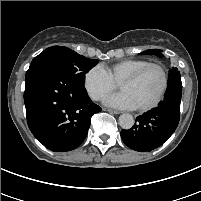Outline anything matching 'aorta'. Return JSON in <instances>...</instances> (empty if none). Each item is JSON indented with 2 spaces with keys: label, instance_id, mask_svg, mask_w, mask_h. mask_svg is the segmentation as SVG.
<instances>
[{
  "label": "aorta",
  "instance_id": "762f6f07",
  "mask_svg": "<svg viewBox=\"0 0 201 201\" xmlns=\"http://www.w3.org/2000/svg\"><path fill=\"white\" fill-rule=\"evenodd\" d=\"M119 125L123 129H130L134 125V118L131 114L124 113L119 117Z\"/></svg>",
  "mask_w": 201,
  "mask_h": 201
}]
</instances>
